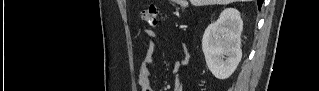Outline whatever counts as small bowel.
I'll return each mask as SVG.
<instances>
[{"label": "small bowel", "instance_id": "obj_1", "mask_svg": "<svg viewBox=\"0 0 319 91\" xmlns=\"http://www.w3.org/2000/svg\"><path fill=\"white\" fill-rule=\"evenodd\" d=\"M144 36L147 42V50L146 55L144 56L137 77V85L140 87L142 91H155V88L152 84L150 65L153 62L154 54L156 51V45L154 43L155 32L151 29H147L144 32ZM183 57L179 61L175 62L172 68V72L175 76V90L182 91L183 90V81L179 78L178 73L179 70L186 66L189 62V53L186 46H182Z\"/></svg>", "mask_w": 319, "mask_h": 91}]
</instances>
